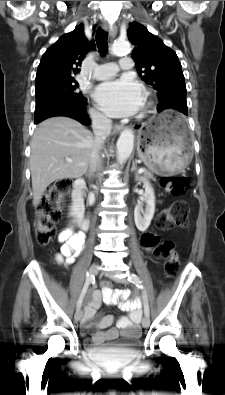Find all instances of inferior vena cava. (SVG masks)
I'll use <instances>...</instances> for the list:
<instances>
[{
	"mask_svg": "<svg viewBox=\"0 0 225 395\" xmlns=\"http://www.w3.org/2000/svg\"><path fill=\"white\" fill-rule=\"evenodd\" d=\"M92 128L95 134L92 152L89 161V172L91 176L96 171L100 161L99 152L104 144V137L108 136L112 129V120L99 112H93L92 115Z\"/></svg>",
	"mask_w": 225,
	"mask_h": 395,
	"instance_id": "602c4592",
	"label": "inferior vena cava"
}]
</instances>
